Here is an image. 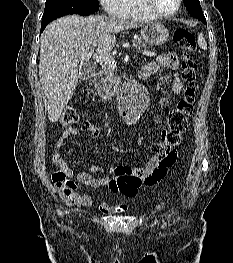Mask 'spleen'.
I'll return each instance as SVG.
<instances>
[{
	"label": "spleen",
	"instance_id": "spleen-1",
	"mask_svg": "<svg viewBox=\"0 0 233 263\" xmlns=\"http://www.w3.org/2000/svg\"><path fill=\"white\" fill-rule=\"evenodd\" d=\"M198 44L202 49H207V43L205 41L204 36L201 33L198 35Z\"/></svg>",
	"mask_w": 233,
	"mask_h": 263
}]
</instances>
